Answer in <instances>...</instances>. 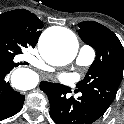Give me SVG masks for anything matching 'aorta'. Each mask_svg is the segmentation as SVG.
I'll return each instance as SVG.
<instances>
[{"label": "aorta", "mask_w": 124, "mask_h": 124, "mask_svg": "<svg viewBox=\"0 0 124 124\" xmlns=\"http://www.w3.org/2000/svg\"><path fill=\"white\" fill-rule=\"evenodd\" d=\"M39 51L45 61L51 65L63 66L74 60L78 52L76 36L67 29L46 30L39 40ZM28 69L19 68L12 74L15 86L28 89L32 85L27 84Z\"/></svg>", "instance_id": "obj_1"}]
</instances>
